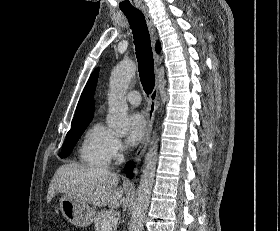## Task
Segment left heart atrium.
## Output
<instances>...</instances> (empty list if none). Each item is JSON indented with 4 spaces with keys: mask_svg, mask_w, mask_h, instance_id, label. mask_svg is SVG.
Segmentation results:
<instances>
[{
    "mask_svg": "<svg viewBox=\"0 0 280 231\" xmlns=\"http://www.w3.org/2000/svg\"><path fill=\"white\" fill-rule=\"evenodd\" d=\"M146 132V122L139 113L131 114L128 117L127 143L131 146L137 145Z\"/></svg>",
    "mask_w": 280,
    "mask_h": 231,
    "instance_id": "obj_1",
    "label": "left heart atrium"
}]
</instances>
